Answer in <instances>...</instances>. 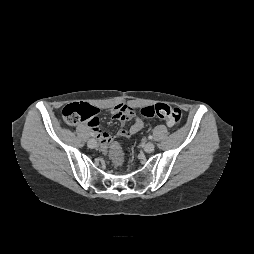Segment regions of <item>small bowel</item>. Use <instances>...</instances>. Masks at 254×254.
<instances>
[{"label": "small bowel", "mask_w": 254, "mask_h": 254, "mask_svg": "<svg viewBox=\"0 0 254 254\" xmlns=\"http://www.w3.org/2000/svg\"><path fill=\"white\" fill-rule=\"evenodd\" d=\"M112 113L114 118L121 124L120 129L115 136L101 130L98 117L89 123L94 135L101 142L102 148L110 147L117 137L129 138L130 136L142 131L145 127L143 120L136 115L134 108L125 104L124 102H118L112 108ZM130 120H134V123L129 130H126L125 125Z\"/></svg>", "instance_id": "small-bowel-1"}]
</instances>
